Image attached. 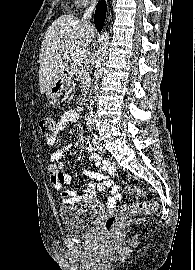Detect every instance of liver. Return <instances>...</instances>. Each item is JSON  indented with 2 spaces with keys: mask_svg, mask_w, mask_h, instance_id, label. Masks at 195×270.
<instances>
[{
  "mask_svg": "<svg viewBox=\"0 0 195 270\" xmlns=\"http://www.w3.org/2000/svg\"><path fill=\"white\" fill-rule=\"evenodd\" d=\"M94 34V28L90 24L71 15L60 16L51 24L39 53L41 93H45L64 72L74 52L88 47Z\"/></svg>",
  "mask_w": 195,
  "mask_h": 270,
  "instance_id": "1",
  "label": "liver"
}]
</instances>
